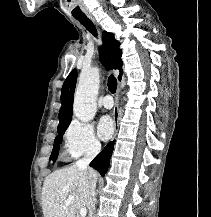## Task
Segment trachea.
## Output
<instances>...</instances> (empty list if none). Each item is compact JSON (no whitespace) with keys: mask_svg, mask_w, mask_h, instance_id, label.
I'll return each instance as SVG.
<instances>
[{"mask_svg":"<svg viewBox=\"0 0 211 217\" xmlns=\"http://www.w3.org/2000/svg\"><path fill=\"white\" fill-rule=\"evenodd\" d=\"M77 20H79V22L89 31L91 32L94 36H97V31L96 28L94 26V24L92 23V21L85 17H80V18H76ZM108 89L112 92L115 93L116 89H117V80L113 75L109 76L108 79Z\"/></svg>","mask_w":211,"mask_h":217,"instance_id":"trachea-1","label":"trachea"}]
</instances>
